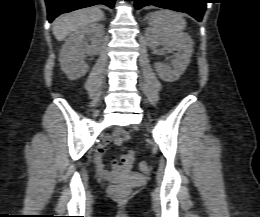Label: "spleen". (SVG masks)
Instances as JSON below:
<instances>
[{"label": "spleen", "mask_w": 260, "mask_h": 217, "mask_svg": "<svg viewBox=\"0 0 260 217\" xmlns=\"http://www.w3.org/2000/svg\"><path fill=\"white\" fill-rule=\"evenodd\" d=\"M150 24L159 33H178L186 27V21L182 15L169 10L153 13Z\"/></svg>", "instance_id": "spleen-1"}]
</instances>
